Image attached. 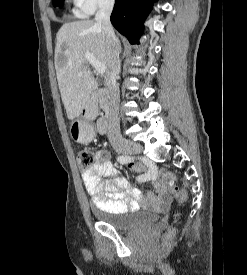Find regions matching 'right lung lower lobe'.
<instances>
[{
  "label": "right lung lower lobe",
  "mask_w": 247,
  "mask_h": 275,
  "mask_svg": "<svg viewBox=\"0 0 247 275\" xmlns=\"http://www.w3.org/2000/svg\"><path fill=\"white\" fill-rule=\"evenodd\" d=\"M156 0H116L111 23L131 44H137L143 23Z\"/></svg>",
  "instance_id": "obj_1"
}]
</instances>
